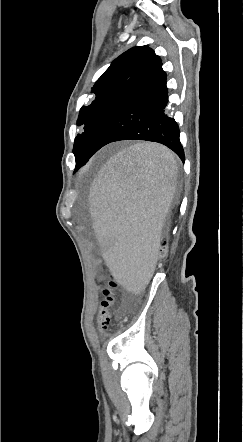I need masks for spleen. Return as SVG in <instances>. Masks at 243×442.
Masks as SVG:
<instances>
[{"label": "spleen", "instance_id": "1", "mask_svg": "<svg viewBox=\"0 0 243 442\" xmlns=\"http://www.w3.org/2000/svg\"><path fill=\"white\" fill-rule=\"evenodd\" d=\"M177 164L174 155L155 143H139L118 152L105 172H97L88 226H96L100 258L129 296L147 286L160 251L162 219L170 214ZM164 192V193H135Z\"/></svg>", "mask_w": 243, "mask_h": 442}]
</instances>
